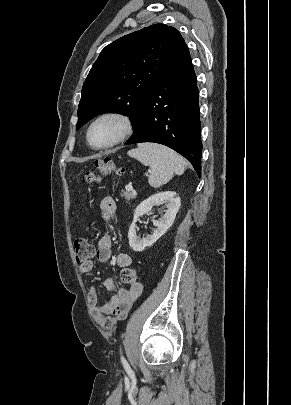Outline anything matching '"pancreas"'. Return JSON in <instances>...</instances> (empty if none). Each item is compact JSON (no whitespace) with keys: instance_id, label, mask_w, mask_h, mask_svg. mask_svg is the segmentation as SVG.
Segmentation results:
<instances>
[{"instance_id":"obj_1","label":"pancreas","mask_w":291,"mask_h":405,"mask_svg":"<svg viewBox=\"0 0 291 405\" xmlns=\"http://www.w3.org/2000/svg\"><path fill=\"white\" fill-rule=\"evenodd\" d=\"M122 198L126 200V202H129L132 199H135L136 195L132 192L126 191L122 193Z\"/></svg>"}]
</instances>
